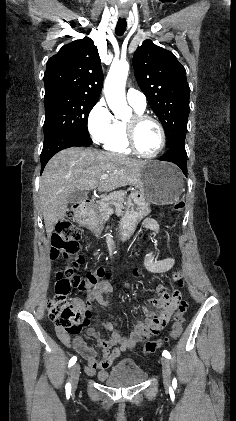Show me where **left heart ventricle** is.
<instances>
[{"label": "left heart ventricle", "mask_w": 236, "mask_h": 421, "mask_svg": "<svg viewBox=\"0 0 236 421\" xmlns=\"http://www.w3.org/2000/svg\"><path fill=\"white\" fill-rule=\"evenodd\" d=\"M134 138L137 148L144 154L154 153L160 142L157 127L150 121L138 122L134 127Z\"/></svg>", "instance_id": "left-heart-ventricle-1"}]
</instances>
